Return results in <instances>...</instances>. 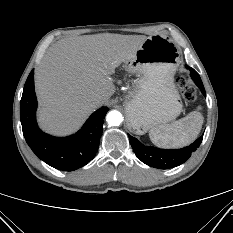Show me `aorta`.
Returning <instances> with one entry per match:
<instances>
[{
	"instance_id": "762f6f07",
	"label": "aorta",
	"mask_w": 233,
	"mask_h": 233,
	"mask_svg": "<svg viewBox=\"0 0 233 233\" xmlns=\"http://www.w3.org/2000/svg\"><path fill=\"white\" fill-rule=\"evenodd\" d=\"M106 120L110 126H119L123 121V117L119 111L112 110L107 114Z\"/></svg>"
}]
</instances>
